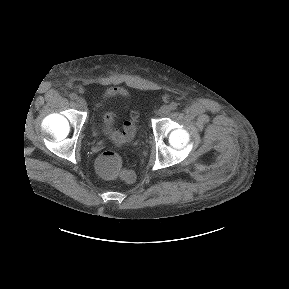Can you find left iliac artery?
I'll return each instance as SVG.
<instances>
[{"mask_svg": "<svg viewBox=\"0 0 289 289\" xmlns=\"http://www.w3.org/2000/svg\"><path fill=\"white\" fill-rule=\"evenodd\" d=\"M170 109L171 110H176L177 107H178V104L176 102H172L170 105H169Z\"/></svg>", "mask_w": 289, "mask_h": 289, "instance_id": "44dca946", "label": "left iliac artery"}]
</instances>
